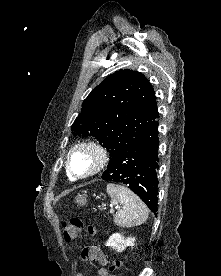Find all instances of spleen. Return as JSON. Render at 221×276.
<instances>
[{
    "label": "spleen",
    "instance_id": "spleen-1",
    "mask_svg": "<svg viewBox=\"0 0 221 276\" xmlns=\"http://www.w3.org/2000/svg\"><path fill=\"white\" fill-rule=\"evenodd\" d=\"M108 195L123 204L114 216V223L120 227H133L143 224L149 216L144 202L130 189L109 183L106 188Z\"/></svg>",
    "mask_w": 221,
    "mask_h": 276
}]
</instances>
